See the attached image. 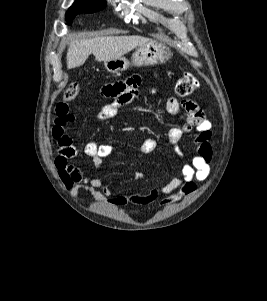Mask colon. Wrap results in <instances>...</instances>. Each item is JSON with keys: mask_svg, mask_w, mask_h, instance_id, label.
Here are the masks:
<instances>
[{"mask_svg": "<svg viewBox=\"0 0 267 301\" xmlns=\"http://www.w3.org/2000/svg\"><path fill=\"white\" fill-rule=\"evenodd\" d=\"M198 87L197 79L190 73H185L182 75L175 86V92L180 97H186L191 95ZM79 92V87L77 84H70L64 91L63 99L64 101L74 100Z\"/></svg>", "mask_w": 267, "mask_h": 301, "instance_id": "colon-1", "label": "colon"}]
</instances>
